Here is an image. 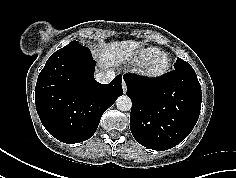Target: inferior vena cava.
<instances>
[{
  "label": "inferior vena cava",
  "instance_id": "inferior-vena-cava-1",
  "mask_svg": "<svg viewBox=\"0 0 236 178\" xmlns=\"http://www.w3.org/2000/svg\"><path fill=\"white\" fill-rule=\"evenodd\" d=\"M115 77V72L112 70H108L106 72H99L95 75V79L97 82L101 84L110 83Z\"/></svg>",
  "mask_w": 236,
  "mask_h": 178
}]
</instances>
